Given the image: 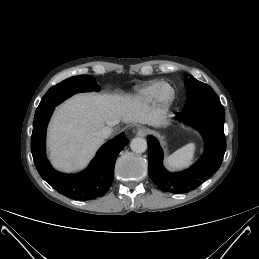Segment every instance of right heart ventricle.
I'll use <instances>...</instances> for the list:
<instances>
[{"label": "right heart ventricle", "instance_id": "e07e8e85", "mask_svg": "<svg viewBox=\"0 0 259 259\" xmlns=\"http://www.w3.org/2000/svg\"><path fill=\"white\" fill-rule=\"evenodd\" d=\"M161 83L160 81H150L136 90V97L142 102L153 101Z\"/></svg>", "mask_w": 259, "mask_h": 259}]
</instances>
